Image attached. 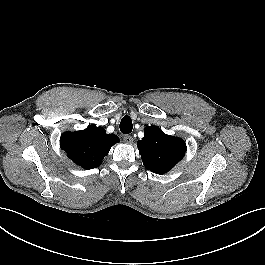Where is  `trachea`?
Segmentation results:
<instances>
[{"instance_id":"1","label":"trachea","mask_w":265,"mask_h":265,"mask_svg":"<svg viewBox=\"0 0 265 265\" xmlns=\"http://www.w3.org/2000/svg\"><path fill=\"white\" fill-rule=\"evenodd\" d=\"M132 129L133 124L131 118L128 115L124 116L120 122V131L123 134H129L131 133Z\"/></svg>"}]
</instances>
